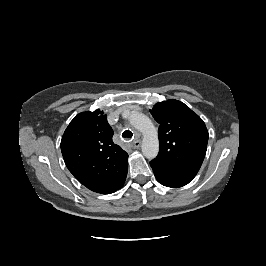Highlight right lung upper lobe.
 Wrapping results in <instances>:
<instances>
[{
    "instance_id": "obj_1",
    "label": "right lung upper lobe",
    "mask_w": 266,
    "mask_h": 266,
    "mask_svg": "<svg viewBox=\"0 0 266 266\" xmlns=\"http://www.w3.org/2000/svg\"><path fill=\"white\" fill-rule=\"evenodd\" d=\"M113 130L99 109L74 117L61 140L63 159L73 176L88 189L110 194L125 182L128 154L112 141Z\"/></svg>"
}]
</instances>
